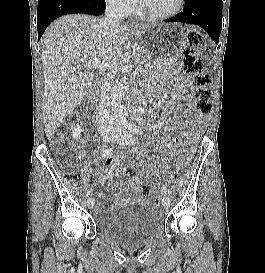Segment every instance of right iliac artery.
Here are the masks:
<instances>
[{"label":"right iliac artery","mask_w":265,"mask_h":273,"mask_svg":"<svg viewBox=\"0 0 265 273\" xmlns=\"http://www.w3.org/2000/svg\"><path fill=\"white\" fill-rule=\"evenodd\" d=\"M121 131H122V125H120L118 127V132L119 135H121ZM113 155V148H106L105 150H103L102 152V156L105 157H111ZM87 196H92V190H88L87 191Z\"/></svg>","instance_id":"82829eb1"}]
</instances>
